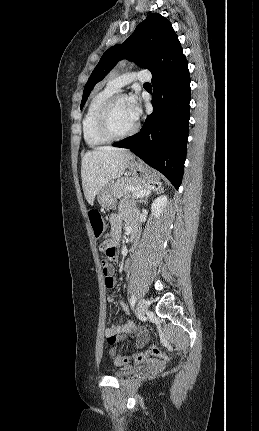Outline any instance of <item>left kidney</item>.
Returning <instances> with one entry per match:
<instances>
[{
    "instance_id": "left-kidney-1",
    "label": "left kidney",
    "mask_w": 259,
    "mask_h": 431,
    "mask_svg": "<svg viewBox=\"0 0 259 431\" xmlns=\"http://www.w3.org/2000/svg\"><path fill=\"white\" fill-rule=\"evenodd\" d=\"M166 205H167V196L166 195H161L153 201V203L151 205V211L156 218H158L160 216V214L163 212Z\"/></svg>"
}]
</instances>
